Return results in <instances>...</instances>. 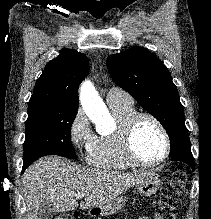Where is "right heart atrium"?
<instances>
[{"label":"right heart atrium","instance_id":"d8ad5b80","mask_svg":"<svg viewBox=\"0 0 211 219\" xmlns=\"http://www.w3.org/2000/svg\"><path fill=\"white\" fill-rule=\"evenodd\" d=\"M68 138L70 143L79 150H88L94 141V134L91 130L89 121L82 111H77L72 118Z\"/></svg>","mask_w":211,"mask_h":219}]
</instances>
